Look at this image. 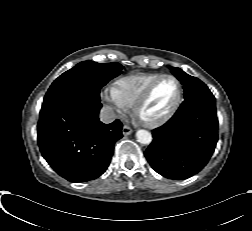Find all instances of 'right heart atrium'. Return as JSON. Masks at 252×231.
<instances>
[{"label": "right heart atrium", "mask_w": 252, "mask_h": 231, "mask_svg": "<svg viewBox=\"0 0 252 231\" xmlns=\"http://www.w3.org/2000/svg\"><path fill=\"white\" fill-rule=\"evenodd\" d=\"M103 99L109 103L113 114L122 116L128 110V106L117 96L114 87L104 92Z\"/></svg>", "instance_id": "obj_1"}]
</instances>
